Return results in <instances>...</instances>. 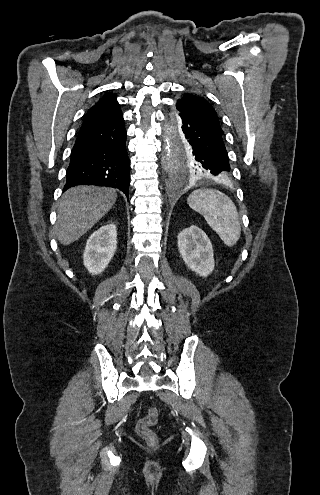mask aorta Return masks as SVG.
Wrapping results in <instances>:
<instances>
[{
    "label": "aorta",
    "mask_w": 320,
    "mask_h": 495,
    "mask_svg": "<svg viewBox=\"0 0 320 495\" xmlns=\"http://www.w3.org/2000/svg\"><path fill=\"white\" fill-rule=\"evenodd\" d=\"M166 134H168V133H166ZM168 135H166V137H167L166 138V141H167L166 142V153H167V156L170 155V147H171L170 142H169ZM185 183H186V180L185 179L178 180L176 182V187L181 188Z\"/></svg>",
    "instance_id": "obj_1"
}]
</instances>
